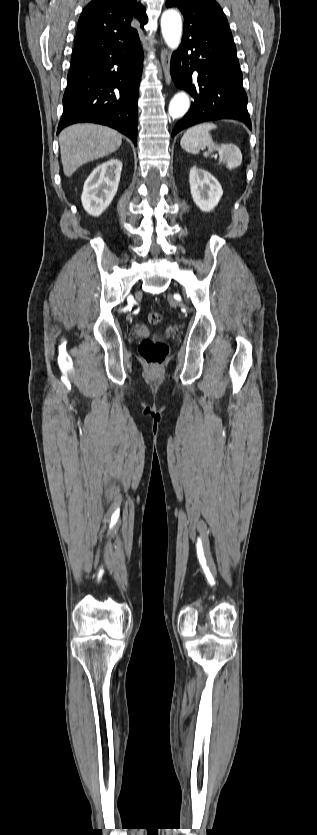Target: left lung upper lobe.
<instances>
[{
    "mask_svg": "<svg viewBox=\"0 0 317 835\" xmlns=\"http://www.w3.org/2000/svg\"><path fill=\"white\" fill-rule=\"evenodd\" d=\"M166 6L182 11L184 33L197 28H213L232 36L227 18L215 0H167Z\"/></svg>",
    "mask_w": 317,
    "mask_h": 835,
    "instance_id": "5c2ea615",
    "label": "left lung upper lobe"
}]
</instances>
